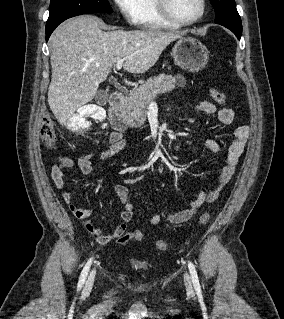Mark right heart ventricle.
Instances as JSON below:
<instances>
[{
	"mask_svg": "<svg viewBox=\"0 0 284 319\" xmlns=\"http://www.w3.org/2000/svg\"><path fill=\"white\" fill-rule=\"evenodd\" d=\"M139 25L147 29L175 27V25L167 22L159 15L154 0H142Z\"/></svg>",
	"mask_w": 284,
	"mask_h": 319,
	"instance_id": "obj_1",
	"label": "right heart ventricle"
}]
</instances>
